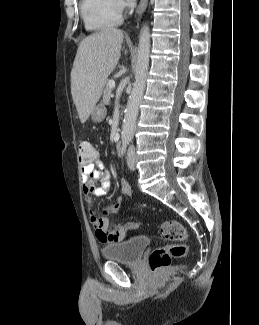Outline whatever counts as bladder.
<instances>
[{
    "label": "bladder",
    "instance_id": "1",
    "mask_svg": "<svg viewBox=\"0 0 259 325\" xmlns=\"http://www.w3.org/2000/svg\"><path fill=\"white\" fill-rule=\"evenodd\" d=\"M147 236H136L126 241L104 246L101 253L104 259L123 264H136L149 246Z\"/></svg>",
    "mask_w": 259,
    "mask_h": 325
}]
</instances>
